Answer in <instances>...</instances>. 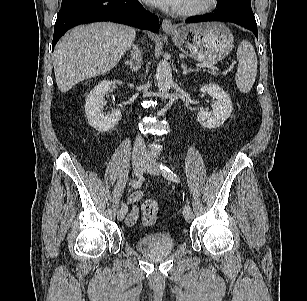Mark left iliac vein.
Masks as SVG:
<instances>
[{
  "mask_svg": "<svg viewBox=\"0 0 307 301\" xmlns=\"http://www.w3.org/2000/svg\"><path fill=\"white\" fill-rule=\"evenodd\" d=\"M145 172L147 173H151L154 175H158L160 174L161 170H160V164L155 161L149 154H147V158L145 160ZM184 217L185 220L190 223L193 218H194V214L190 208V210H188L187 212H184Z\"/></svg>",
  "mask_w": 307,
  "mask_h": 301,
  "instance_id": "obj_1",
  "label": "left iliac vein"
}]
</instances>
